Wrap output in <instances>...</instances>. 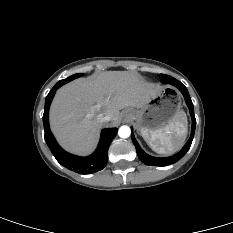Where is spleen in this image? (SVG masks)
Here are the masks:
<instances>
[{"label":"spleen","instance_id":"spleen-1","mask_svg":"<svg viewBox=\"0 0 233 233\" xmlns=\"http://www.w3.org/2000/svg\"><path fill=\"white\" fill-rule=\"evenodd\" d=\"M187 133V118L178 111L171 123L155 131H142L141 134L150 148L160 154H170L182 144Z\"/></svg>","mask_w":233,"mask_h":233}]
</instances>
